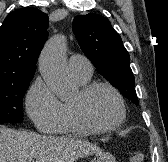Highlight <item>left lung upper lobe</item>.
<instances>
[{"instance_id": "1", "label": "left lung upper lobe", "mask_w": 168, "mask_h": 162, "mask_svg": "<svg viewBox=\"0 0 168 162\" xmlns=\"http://www.w3.org/2000/svg\"><path fill=\"white\" fill-rule=\"evenodd\" d=\"M72 29L80 48L96 70L123 96L138 105L129 53L109 20L95 13L79 15L74 18Z\"/></svg>"}]
</instances>
